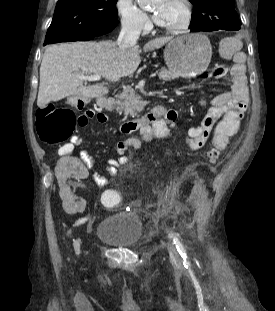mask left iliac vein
I'll return each instance as SVG.
<instances>
[{"label": "left iliac vein", "instance_id": "1", "mask_svg": "<svg viewBox=\"0 0 275 311\" xmlns=\"http://www.w3.org/2000/svg\"><path fill=\"white\" fill-rule=\"evenodd\" d=\"M168 251L170 256V261L176 267H182V260L179 258L176 248L172 244H168Z\"/></svg>", "mask_w": 275, "mask_h": 311}]
</instances>
